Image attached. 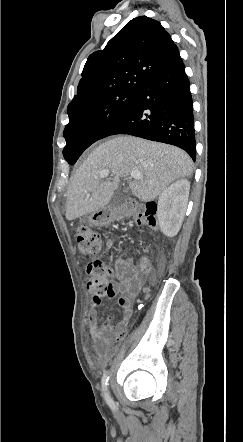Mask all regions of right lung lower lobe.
<instances>
[{"label": "right lung lower lobe", "mask_w": 243, "mask_h": 442, "mask_svg": "<svg viewBox=\"0 0 243 442\" xmlns=\"http://www.w3.org/2000/svg\"><path fill=\"white\" fill-rule=\"evenodd\" d=\"M115 134L175 145L195 161L193 100L179 53L149 77L101 139Z\"/></svg>", "instance_id": "98d812e1"}]
</instances>
